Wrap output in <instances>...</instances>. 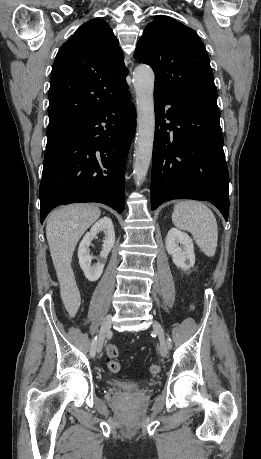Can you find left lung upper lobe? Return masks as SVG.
<instances>
[{"label": "left lung upper lobe", "mask_w": 261, "mask_h": 459, "mask_svg": "<svg viewBox=\"0 0 261 459\" xmlns=\"http://www.w3.org/2000/svg\"><path fill=\"white\" fill-rule=\"evenodd\" d=\"M135 58L151 65L154 91L186 105L218 109L209 57L194 30L167 16H156L139 40Z\"/></svg>", "instance_id": "1"}]
</instances>
